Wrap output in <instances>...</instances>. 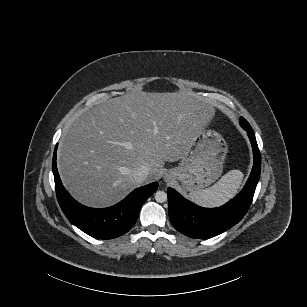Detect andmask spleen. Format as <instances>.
<instances>
[{"label":"spleen","instance_id":"3e777b00","mask_svg":"<svg viewBox=\"0 0 307 307\" xmlns=\"http://www.w3.org/2000/svg\"><path fill=\"white\" fill-rule=\"evenodd\" d=\"M243 177L240 170H230L211 187L189 193V198L204 207L220 206L235 196Z\"/></svg>","mask_w":307,"mask_h":307}]
</instances>
